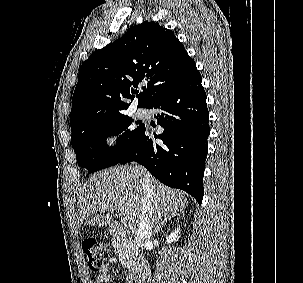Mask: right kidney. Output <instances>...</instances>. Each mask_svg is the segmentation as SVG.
Instances as JSON below:
<instances>
[{
    "instance_id": "1",
    "label": "right kidney",
    "mask_w": 303,
    "mask_h": 283,
    "mask_svg": "<svg viewBox=\"0 0 303 283\" xmlns=\"http://www.w3.org/2000/svg\"><path fill=\"white\" fill-rule=\"evenodd\" d=\"M178 234H180L179 228L175 229V231L166 238V243L171 244L173 241H177L179 239Z\"/></svg>"
}]
</instances>
